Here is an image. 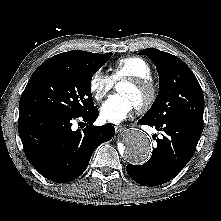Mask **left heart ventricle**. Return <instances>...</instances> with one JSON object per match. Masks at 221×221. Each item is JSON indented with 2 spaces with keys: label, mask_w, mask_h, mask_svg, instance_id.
Segmentation results:
<instances>
[{
  "label": "left heart ventricle",
  "mask_w": 221,
  "mask_h": 221,
  "mask_svg": "<svg viewBox=\"0 0 221 221\" xmlns=\"http://www.w3.org/2000/svg\"><path fill=\"white\" fill-rule=\"evenodd\" d=\"M118 92L127 95L135 106H138L140 103H142L147 96V93L144 90L136 88L126 82H123L119 85Z\"/></svg>",
  "instance_id": "b2bd125f"
}]
</instances>
